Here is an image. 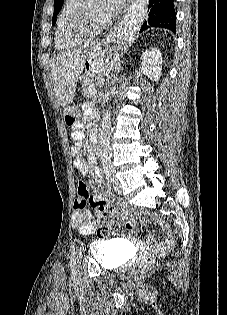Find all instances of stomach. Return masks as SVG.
<instances>
[{
	"mask_svg": "<svg viewBox=\"0 0 227 315\" xmlns=\"http://www.w3.org/2000/svg\"><path fill=\"white\" fill-rule=\"evenodd\" d=\"M86 68L84 69L83 72V80L78 81V86L80 87L81 91H88L89 86L87 82H93L94 80V70L92 68V65L90 61L86 62Z\"/></svg>",
	"mask_w": 227,
	"mask_h": 315,
	"instance_id": "1",
	"label": "stomach"
}]
</instances>
